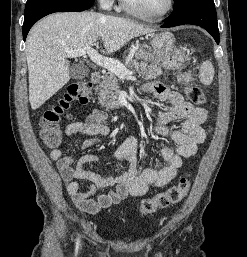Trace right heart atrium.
I'll use <instances>...</instances> for the list:
<instances>
[{
    "label": "right heart atrium",
    "mask_w": 247,
    "mask_h": 257,
    "mask_svg": "<svg viewBox=\"0 0 247 257\" xmlns=\"http://www.w3.org/2000/svg\"><path fill=\"white\" fill-rule=\"evenodd\" d=\"M99 2L103 7L111 8L114 5L115 0H99Z\"/></svg>",
    "instance_id": "1"
}]
</instances>
